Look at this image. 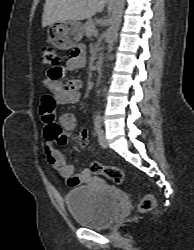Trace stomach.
<instances>
[{"label": "stomach", "instance_id": "obj_1", "mask_svg": "<svg viewBox=\"0 0 194 250\" xmlns=\"http://www.w3.org/2000/svg\"><path fill=\"white\" fill-rule=\"evenodd\" d=\"M51 43L60 50L73 48L83 37V25L78 21H62L49 25Z\"/></svg>", "mask_w": 194, "mask_h": 250}]
</instances>
